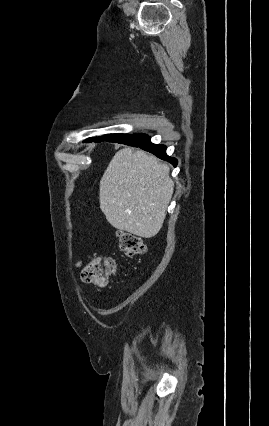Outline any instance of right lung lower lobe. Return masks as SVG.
<instances>
[{"label":"right lung lower lobe","instance_id":"1","mask_svg":"<svg viewBox=\"0 0 269 426\" xmlns=\"http://www.w3.org/2000/svg\"><path fill=\"white\" fill-rule=\"evenodd\" d=\"M108 142L121 143L134 147H139L145 151L153 153L162 160L170 162L174 166L177 165V160L166 154V146L151 143L150 137L145 134H133L123 140H112Z\"/></svg>","mask_w":269,"mask_h":426}]
</instances>
